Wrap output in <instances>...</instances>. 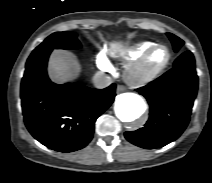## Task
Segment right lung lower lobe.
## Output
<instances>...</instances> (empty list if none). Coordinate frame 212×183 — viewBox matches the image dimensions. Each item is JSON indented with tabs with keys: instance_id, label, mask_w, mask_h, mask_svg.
I'll return each mask as SVG.
<instances>
[{
	"instance_id": "98d812e1",
	"label": "right lung lower lobe",
	"mask_w": 212,
	"mask_h": 183,
	"mask_svg": "<svg viewBox=\"0 0 212 183\" xmlns=\"http://www.w3.org/2000/svg\"><path fill=\"white\" fill-rule=\"evenodd\" d=\"M52 50L33 51L21 82V101L27 129L46 147L73 152L92 139L96 119L115 98V84L93 89L78 83L57 85L47 76Z\"/></svg>"
}]
</instances>
